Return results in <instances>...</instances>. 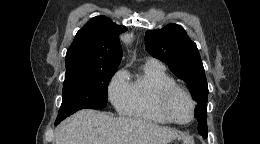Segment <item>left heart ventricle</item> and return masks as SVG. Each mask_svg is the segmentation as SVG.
Masks as SVG:
<instances>
[{"instance_id":"left-heart-ventricle-1","label":"left heart ventricle","mask_w":260,"mask_h":144,"mask_svg":"<svg viewBox=\"0 0 260 144\" xmlns=\"http://www.w3.org/2000/svg\"><path fill=\"white\" fill-rule=\"evenodd\" d=\"M168 108L173 117L179 121L185 122L191 117V103L182 93H176L171 97Z\"/></svg>"}]
</instances>
